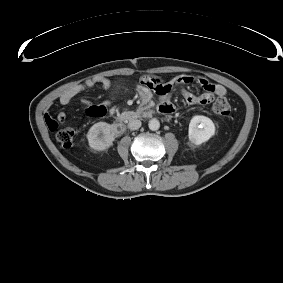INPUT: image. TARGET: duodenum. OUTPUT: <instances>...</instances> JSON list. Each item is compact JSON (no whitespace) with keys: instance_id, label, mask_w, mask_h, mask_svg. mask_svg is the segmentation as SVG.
<instances>
[{"instance_id":"obj_1","label":"duodenum","mask_w":283,"mask_h":283,"mask_svg":"<svg viewBox=\"0 0 283 283\" xmlns=\"http://www.w3.org/2000/svg\"><path fill=\"white\" fill-rule=\"evenodd\" d=\"M173 112V108L165 109L166 114H171ZM152 116V111H142V112H125L123 113L117 120V126L119 129H122L125 124L129 121H134L137 119L148 118Z\"/></svg>"}]
</instances>
